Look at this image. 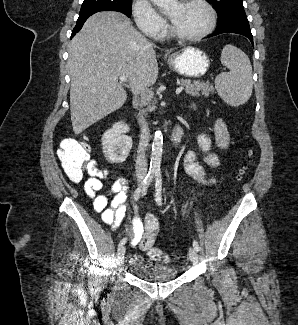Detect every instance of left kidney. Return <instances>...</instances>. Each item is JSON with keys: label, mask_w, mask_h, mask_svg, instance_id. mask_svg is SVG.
<instances>
[{"label": "left kidney", "mask_w": 298, "mask_h": 325, "mask_svg": "<svg viewBox=\"0 0 298 325\" xmlns=\"http://www.w3.org/2000/svg\"><path fill=\"white\" fill-rule=\"evenodd\" d=\"M198 144L202 150H210L211 138L207 134H198L197 136Z\"/></svg>", "instance_id": "left-kidney-1"}]
</instances>
